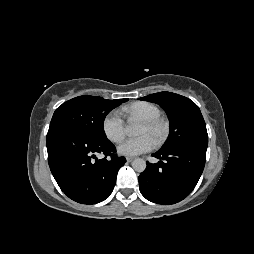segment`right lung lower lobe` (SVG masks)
<instances>
[{
    "mask_svg": "<svg viewBox=\"0 0 254 254\" xmlns=\"http://www.w3.org/2000/svg\"><path fill=\"white\" fill-rule=\"evenodd\" d=\"M50 170L61 190L81 204L107 199L113 191L118 170L126 159L115 154V146L63 126H52L47 133ZM104 154L98 159L96 155ZM112 155L111 158L107 156Z\"/></svg>",
    "mask_w": 254,
    "mask_h": 254,
    "instance_id": "right-lung-lower-lobe-1",
    "label": "right lung lower lobe"
}]
</instances>
